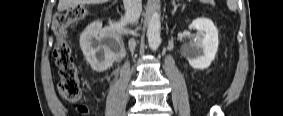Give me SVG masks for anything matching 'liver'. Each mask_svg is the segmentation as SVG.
Instances as JSON below:
<instances>
[{
  "instance_id": "6515ba94",
  "label": "liver",
  "mask_w": 283,
  "mask_h": 116,
  "mask_svg": "<svg viewBox=\"0 0 283 116\" xmlns=\"http://www.w3.org/2000/svg\"><path fill=\"white\" fill-rule=\"evenodd\" d=\"M103 2L107 0H102ZM87 2H99L97 0H59L58 3V11L62 12L72 6H76L81 3H87Z\"/></svg>"
}]
</instances>
